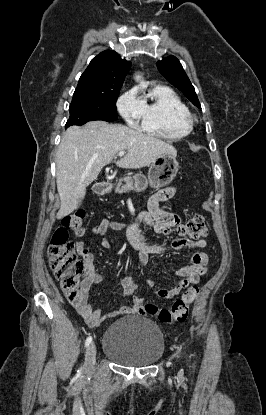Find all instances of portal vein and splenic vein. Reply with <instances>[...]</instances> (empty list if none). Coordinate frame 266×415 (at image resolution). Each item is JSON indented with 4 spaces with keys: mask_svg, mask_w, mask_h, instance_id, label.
<instances>
[{
    "mask_svg": "<svg viewBox=\"0 0 266 415\" xmlns=\"http://www.w3.org/2000/svg\"><path fill=\"white\" fill-rule=\"evenodd\" d=\"M124 154H125V151H120V152L118 153V155H119V156H124Z\"/></svg>",
    "mask_w": 266,
    "mask_h": 415,
    "instance_id": "obj_1",
    "label": "portal vein and splenic vein"
}]
</instances>
